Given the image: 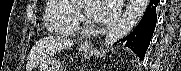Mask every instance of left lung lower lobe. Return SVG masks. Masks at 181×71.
<instances>
[{
	"mask_svg": "<svg viewBox=\"0 0 181 71\" xmlns=\"http://www.w3.org/2000/svg\"><path fill=\"white\" fill-rule=\"evenodd\" d=\"M158 2L159 0H150V4L137 27L128 37L118 43L129 47L140 57L141 60L145 57L146 50L150 44L156 26V6Z\"/></svg>",
	"mask_w": 181,
	"mask_h": 71,
	"instance_id": "0a47b994",
	"label": "left lung lower lobe"
}]
</instances>
